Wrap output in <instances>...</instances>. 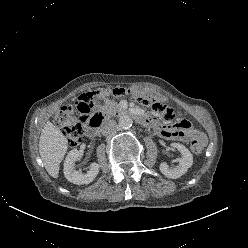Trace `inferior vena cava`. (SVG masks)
<instances>
[{"mask_svg": "<svg viewBox=\"0 0 248 248\" xmlns=\"http://www.w3.org/2000/svg\"><path fill=\"white\" fill-rule=\"evenodd\" d=\"M116 128V122L114 120H109L105 122L102 126V134L107 136L114 133Z\"/></svg>", "mask_w": 248, "mask_h": 248, "instance_id": "obj_1", "label": "inferior vena cava"}]
</instances>
